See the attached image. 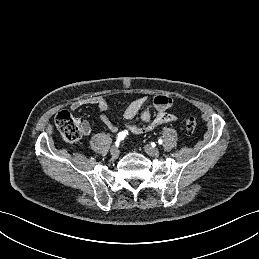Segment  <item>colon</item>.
Segmentation results:
<instances>
[{"label":"colon","instance_id":"5ec220e1","mask_svg":"<svg viewBox=\"0 0 259 259\" xmlns=\"http://www.w3.org/2000/svg\"><path fill=\"white\" fill-rule=\"evenodd\" d=\"M55 125L63 140L69 143L78 141L83 134L80 122L67 111H61L57 114ZM196 126L197 121L194 117H188L184 120V127L188 134L193 133Z\"/></svg>","mask_w":259,"mask_h":259}]
</instances>
